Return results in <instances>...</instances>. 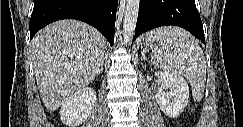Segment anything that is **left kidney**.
<instances>
[{
  "instance_id": "1",
  "label": "left kidney",
  "mask_w": 243,
  "mask_h": 127,
  "mask_svg": "<svg viewBox=\"0 0 243 127\" xmlns=\"http://www.w3.org/2000/svg\"><path fill=\"white\" fill-rule=\"evenodd\" d=\"M156 76L160 78L161 88L155 99L165 115L177 118L188 104L189 86L181 75L158 72Z\"/></svg>"
}]
</instances>
